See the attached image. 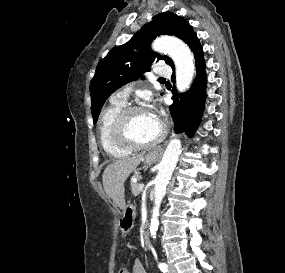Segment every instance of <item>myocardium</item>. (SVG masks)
I'll return each instance as SVG.
<instances>
[{
    "mask_svg": "<svg viewBox=\"0 0 285 273\" xmlns=\"http://www.w3.org/2000/svg\"><path fill=\"white\" fill-rule=\"evenodd\" d=\"M144 109L137 105H129L125 106L117 115L113 128H112V135L113 139L120 147L127 149V150H140L150 148L155 146L156 144L160 143L167 134V126L165 122L161 119H158L160 123V131L158 136L149 142L138 143L133 141L127 134V123L129 117L139 111H143Z\"/></svg>",
    "mask_w": 285,
    "mask_h": 273,
    "instance_id": "1",
    "label": "myocardium"
}]
</instances>
